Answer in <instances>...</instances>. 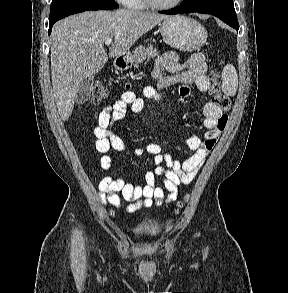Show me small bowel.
<instances>
[{"label": "small bowel", "instance_id": "c3829d8e", "mask_svg": "<svg viewBox=\"0 0 288 293\" xmlns=\"http://www.w3.org/2000/svg\"><path fill=\"white\" fill-rule=\"evenodd\" d=\"M164 69L171 75L165 76ZM152 77L157 81L158 89L178 85L179 95L184 98L190 95L188 84H195L203 93H208L210 89V80L206 75V64L201 53H194L187 61L182 62L175 52H167L157 58ZM143 95L144 98H160L157 90L151 86L144 88ZM144 98L136 96L132 91H126L112 106L95 113L98 125L93 130L94 145L102 154L101 166L104 170L111 166V157L108 154L111 149L118 152L128 151L124 140L114 131L115 124L126 117L128 110L132 113L141 112L145 106ZM203 115V125L207 131L203 137L192 135L186 139L187 146L192 151L188 159L183 162L174 159L157 143L133 149L132 153L136 156L144 152L153 155L154 170L146 172L144 185H134L126 183L123 179L105 176L98 184L101 204L112 205L121 210V193L123 199L129 202L124 208V212L130 215L128 222H133L138 218L137 212L141 208L159 206L164 201L175 200L178 187L190 184L197 177L228 122L227 115L214 99L204 105ZM156 176H161L163 188L156 185ZM164 189L168 192L167 196Z\"/></svg>", "mask_w": 288, "mask_h": 293}]
</instances>
